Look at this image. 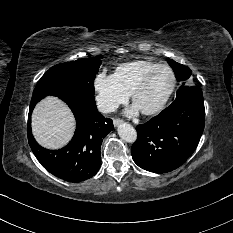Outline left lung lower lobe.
Returning a JSON list of instances; mask_svg holds the SVG:
<instances>
[{
	"label": "left lung lower lobe",
	"mask_w": 233,
	"mask_h": 233,
	"mask_svg": "<svg viewBox=\"0 0 233 233\" xmlns=\"http://www.w3.org/2000/svg\"><path fill=\"white\" fill-rule=\"evenodd\" d=\"M204 122L202 91L192 86L159 115L137 126L138 137L131 147L134 162L154 173L178 168L196 149Z\"/></svg>",
	"instance_id": "0a47b994"
}]
</instances>
